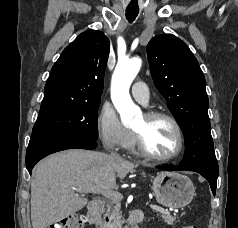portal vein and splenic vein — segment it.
<instances>
[{"instance_id":"1","label":"portal vein and splenic vein","mask_w":238,"mask_h":228,"mask_svg":"<svg viewBox=\"0 0 238 228\" xmlns=\"http://www.w3.org/2000/svg\"><path fill=\"white\" fill-rule=\"evenodd\" d=\"M76 190H81V188H76ZM92 193L94 194H101L104 197L111 199V200H121L123 198V195L119 192L111 191V190H106V189H101V188H94L91 190ZM148 204V203H147ZM152 210H155L157 212H160L162 214H170L167 210L162 209L161 207H158L156 205H149Z\"/></svg>"}]
</instances>
